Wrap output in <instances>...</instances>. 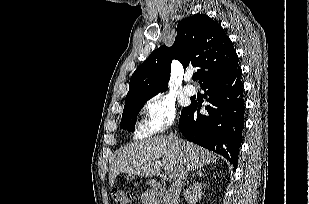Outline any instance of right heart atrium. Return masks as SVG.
Returning <instances> with one entry per match:
<instances>
[{
	"instance_id": "obj_1",
	"label": "right heart atrium",
	"mask_w": 309,
	"mask_h": 204,
	"mask_svg": "<svg viewBox=\"0 0 309 204\" xmlns=\"http://www.w3.org/2000/svg\"><path fill=\"white\" fill-rule=\"evenodd\" d=\"M143 120L139 134L151 135L168 128L175 119V105L165 95L156 94L150 97L142 107Z\"/></svg>"
}]
</instances>
